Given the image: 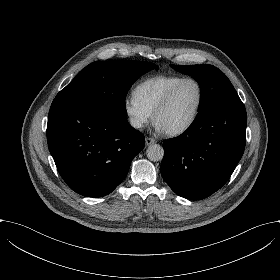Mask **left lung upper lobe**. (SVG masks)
<instances>
[{
  "mask_svg": "<svg viewBox=\"0 0 280 280\" xmlns=\"http://www.w3.org/2000/svg\"><path fill=\"white\" fill-rule=\"evenodd\" d=\"M183 74L192 76L200 86L198 115L223 103L240 99L227 76L212 65H170Z\"/></svg>",
  "mask_w": 280,
  "mask_h": 280,
  "instance_id": "5c2ea615",
  "label": "left lung upper lobe"
}]
</instances>
